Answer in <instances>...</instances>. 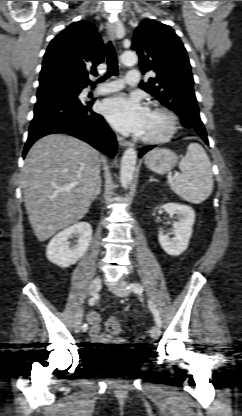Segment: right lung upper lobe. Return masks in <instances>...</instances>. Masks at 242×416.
Here are the masks:
<instances>
[{
	"mask_svg": "<svg viewBox=\"0 0 242 416\" xmlns=\"http://www.w3.org/2000/svg\"><path fill=\"white\" fill-rule=\"evenodd\" d=\"M104 45L95 27L75 22L58 34L48 46L40 72L37 98L62 89L82 90L88 73L97 74L104 60Z\"/></svg>",
	"mask_w": 242,
	"mask_h": 416,
	"instance_id": "obj_1",
	"label": "right lung upper lobe"
}]
</instances>
